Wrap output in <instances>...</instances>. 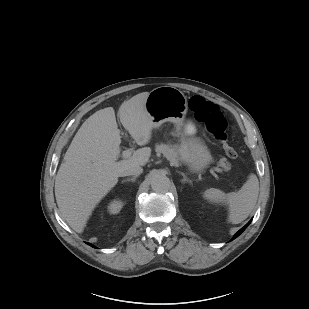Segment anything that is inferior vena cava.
Returning a JSON list of instances; mask_svg holds the SVG:
<instances>
[{
  "label": "inferior vena cava",
  "instance_id": "1",
  "mask_svg": "<svg viewBox=\"0 0 309 309\" xmlns=\"http://www.w3.org/2000/svg\"><path fill=\"white\" fill-rule=\"evenodd\" d=\"M143 172V169L141 166H132L124 169L121 173L120 176H130V175H135L138 176Z\"/></svg>",
  "mask_w": 309,
  "mask_h": 309
}]
</instances>
